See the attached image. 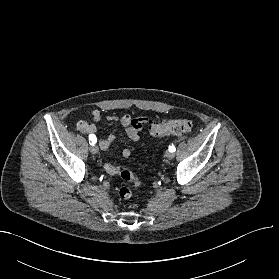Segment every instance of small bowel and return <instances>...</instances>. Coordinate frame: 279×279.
<instances>
[{
  "mask_svg": "<svg viewBox=\"0 0 279 279\" xmlns=\"http://www.w3.org/2000/svg\"><path fill=\"white\" fill-rule=\"evenodd\" d=\"M92 121L93 122H87L84 120H80L76 124L77 130L83 133H87L89 135H97L98 133V127L97 123H99L102 119V115L100 111L94 110L91 114ZM107 120L109 121H118L121 123V125L125 128V131L127 133L128 138L132 142H138L140 139V133L149 123V119L147 117H133L130 114H124V115H108ZM97 139V138H96ZM115 140V136L113 134H110L107 137H99L98 143L102 150H107L113 141ZM133 152V148L130 146H126L123 149L122 155L123 157L127 158L129 157ZM104 169L105 171L110 175H116L119 173V167L117 165L111 164V163H104Z\"/></svg>",
  "mask_w": 279,
  "mask_h": 279,
  "instance_id": "obj_1",
  "label": "small bowel"
}]
</instances>
